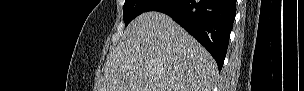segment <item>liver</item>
<instances>
[{"label":"liver","instance_id":"obj_1","mask_svg":"<svg viewBox=\"0 0 304 91\" xmlns=\"http://www.w3.org/2000/svg\"><path fill=\"white\" fill-rule=\"evenodd\" d=\"M217 64L166 14L135 18L104 64L99 91H211Z\"/></svg>","mask_w":304,"mask_h":91}]
</instances>
